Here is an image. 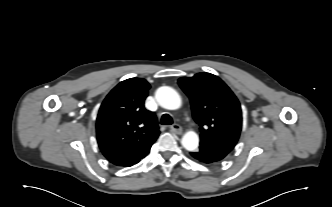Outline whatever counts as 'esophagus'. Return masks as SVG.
Here are the masks:
<instances>
[{
    "label": "esophagus",
    "mask_w": 332,
    "mask_h": 207,
    "mask_svg": "<svg viewBox=\"0 0 332 207\" xmlns=\"http://www.w3.org/2000/svg\"><path fill=\"white\" fill-rule=\"evenodd\" d=\"M171 131L175 134H182V128L179 124H173L171 127H170Z\"/></svg>",
    "instance_id": "1"
}]
</instances>
